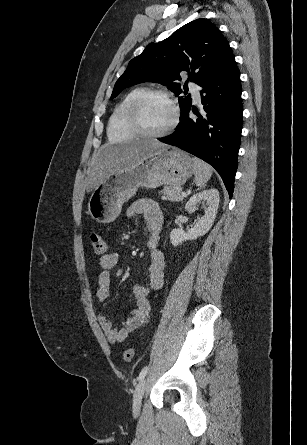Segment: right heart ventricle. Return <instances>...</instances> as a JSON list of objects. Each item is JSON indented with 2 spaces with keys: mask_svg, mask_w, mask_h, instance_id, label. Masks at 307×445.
<instances>
[{
  "mask_svg": "<svg viewBox=\"0 0 307 445\" xmlns=\"http://www.w3.org/2000/svg\"><path fill=\"white\" fill-rule=\"evenodd\" d=\"M146 91L145 87L133 89L114 109L108 124V136L111 140H135L136 132L132 126L130 111L133 103Z\"/></svg>",
  "mask_w": 307,
  "mask_h": 445,
  "instance_id": "e07e8e85",
  "label": "right heart ventricle"
}]
</instances>
